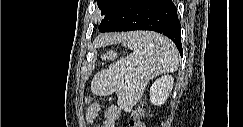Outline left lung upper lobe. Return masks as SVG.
<instances>
[{"mask_svg": "<svg viewBox=\"0 0 243 127\" xmlns=\"http://www.w3.org/2000/svg\"><path fill=\"white\" fill-rule=\"evenodd\" d=\"M102 10V15L106 14L104 19L101 21L99 28H102L106 25V17L111 14L122 2V0H95Z\"/></svg>", "mask_w": 243, "mask_h": 127, "instance_id": "left-lung-upper-lobe-1", "label": "left lung upper lobe"}]
</instances>
